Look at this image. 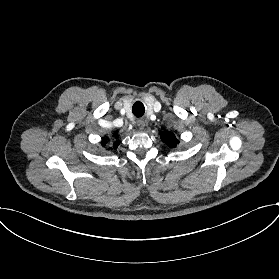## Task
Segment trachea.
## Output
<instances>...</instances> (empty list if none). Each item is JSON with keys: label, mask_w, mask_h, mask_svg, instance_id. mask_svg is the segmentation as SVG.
I'll return each mask as SVG.
<instances>
[{"label": "trachea", "mask_w": 279, "mask_h": 279, "mask_svg": "<svg viewBox=\"0 0 279 279\" xmlns=\"http://www.w3.org/2000/svg\"><path fill=\"white\" fill-rule=\"evenodd\" d=\"M132 112L136 117H141L145 112L143 104L141 102H136L132 107Z\"/></svg>", "instance_id": "1"}]
</instances>
